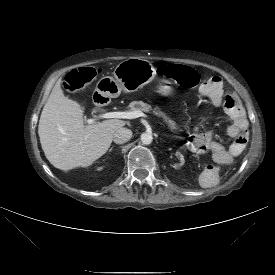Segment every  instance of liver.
<instances>
[{
    "mask_svg": "<svg viewBox=\"0 0 275 275\" xmlns=\"http://www.w3.org/2000/svg\"><path fill=\"white\" fill-rule=\"evenodd\" d=\"M60 78L43 107L38 134L48 161L64 172L90 166L109 149L114 133L126 123L108 119L84 125L82 107L64 95Z\"/></svg>",
    "mask_w": 275,
    "mask_h": 275,
    "instance_id": "1",
    "label": "liver"
}]
</instances>
